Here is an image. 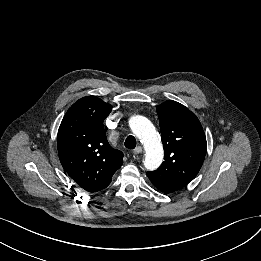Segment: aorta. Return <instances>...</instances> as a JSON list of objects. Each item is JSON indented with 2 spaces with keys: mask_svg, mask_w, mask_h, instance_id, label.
<instances>
[{
  "mask_svg": "<svg viewBox=\"0 0 261 261\" xmlns=\"http://www.w3.org/2000/svg\"><path fill=\"white\" fill-rule=\"evenodd\" d=\"M132 132L140 139L145 148L144 166L148 170H156L163 160V146L159 134L153 124L140 115L129 120Z\"/></svg>",
  "mask_w": 261,
  "mask_h": 261,
  "instance_id": "aorta-1",
  "label": "aorta"
}]
</instances>
